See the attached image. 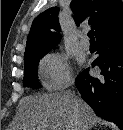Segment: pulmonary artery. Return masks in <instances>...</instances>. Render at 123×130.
I'll return each instance as SVG.
<instances>
[{
  "label": "pulmonary artery",
  "mask_w": 123,
  "mask_h": 130,
  "mask_svg": "<svg viewBox=\"0 0 123 130\" xmlns=\"http://www.w3.org/2000/svg\"><path fill=\"white\" fill-rule=\"evenodd\" d=\"M80 46H81V48L84 49V50H88V49L90 48V42H89V40L87 39V37H86L85 34L81 37Z\"/></svg>",
  "instance_id": "1"
}]
</instances>
